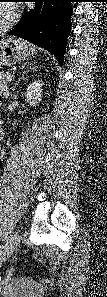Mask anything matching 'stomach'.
I'll use <instances>...</instances> for the list:
<instances>
[{
    "label": "stomach",
    "mask_w": 107,
    "mask_h": 297,
    "mask_svg": "<svg viewBox=\"0 0 107 297\" xmlns=\"http://www.w3.org/2000/svg\"><path fill=\"white\" fill-rule=\"evenodd\" d=\"M33 54V49L24 41L9 39L1 41L0 65L11 66L21 63Z\"/></svg>",
    "instance_id": "obj_1"
}]
</instances>
